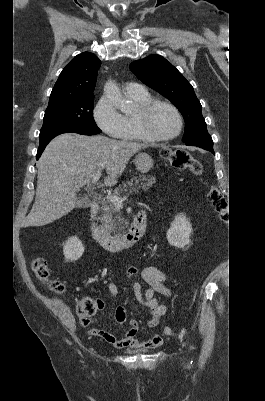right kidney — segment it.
Here are the masks:
<instances>
[{
    "mask_svg": "<svg viewBox=\"0 0 265 401\" xmlns=\"http://www.w3.org/2000/svg\"><path fill=\"white\" fill-rule=\"evenodd\" d=\"M84 251L85 249L82 241H80L78 237H71L64 245L63 255L67 261L74 263V261H78V259L82 257Z\"/></svg>",
    "mask_w": 265,
    "mask_h": 401,
    "instance_id": "1",
    "label": "right kidney"
}]
</instances>
